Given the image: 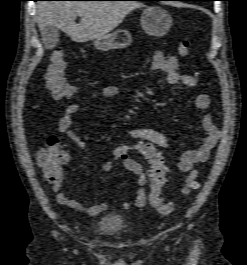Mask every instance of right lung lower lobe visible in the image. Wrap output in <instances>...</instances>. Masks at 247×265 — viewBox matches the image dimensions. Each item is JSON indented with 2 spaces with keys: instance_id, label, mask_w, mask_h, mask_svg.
Returning <instances> with one entry per match:
<instances>
[{
  "instance_id": "obj_1",
  "label": "right lung lower lobe",
  "mask_w": 247,
  "mask_h": 265,
  "mask_svg": "<svg viewBox=\"0 0 247 265\" xmlns=\"http://www.w3.org/2000/svg\"><path fill=\"white\" fill-rule=\"evenodd\" d=\"M33 1H38V0H33ZM137 1H142V0H137Z\"/></svg>"
}]
</instances>
